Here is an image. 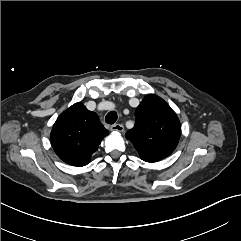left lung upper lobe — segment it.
I'll use <instances>...</instances> for the list:
<instances>
[{
	"label": "left lung upper lobe",
	"mask_w": 241,
	"mask_h": 241,
	"mask_svg": "<svg viewBox=\"0 0 241 241\" xmlns=\"http://www.w3.org/2000/svg\"><path fill=\"white\" fill-rule=\"evenodd\" d=\"M135 126L126 133L140 158L157 162L176 148L181 125L175 112L156 95H147L135 111Z\"/></svg>",
	"instance_id": "5c2ea615"
}]
</instances>
